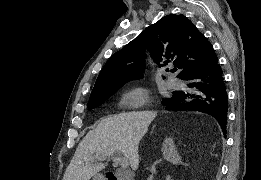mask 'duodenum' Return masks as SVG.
<instances>
[{
  "mask_svg": "<svg viewBox=\"0 0 261 180\" xmlns=\"http://www.w3.org/2000/svg\"><path fill=\"white\" fill-rule=\"evenodd\" d=\"M105 180H121L119 173H108Z\"/></svg>",
  "mask_w": 261,
  "mask_h": 180,
  "instance_id": "obj_1",
  "label": "duodenum"
}]
</instances>
